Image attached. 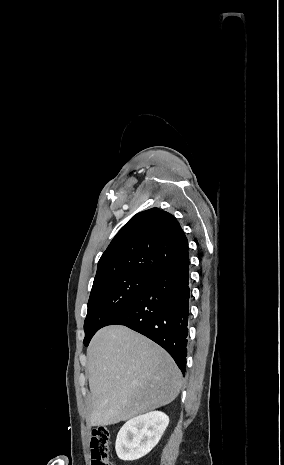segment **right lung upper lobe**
I'll return each mask as SVG.
<instances>
[{
    "label": "right lung upper lobe",
    "instance_id": "obj_1",
    "mask_svg": "<svg viewBox=\"0 0 284 465\" xmlns=\"http://www.w3.org/2000/svg\"><path fill=\"white\" fill-rule=\"evenodd\" d=\"M188 256V241L176 218L159 208L134 215L102 254L94 279L124 274L155 277Z\"/></svg>",
    "mask_w": 284,
    "mask_h": 465
}]
</instances>
